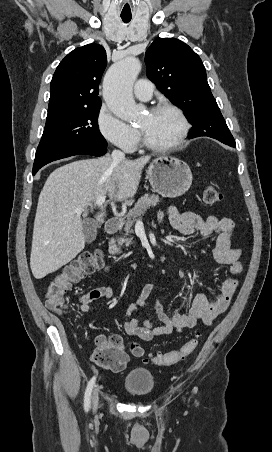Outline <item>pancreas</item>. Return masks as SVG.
<instances>
[{"label":"pancreas","instance_id":"pancreas-1","mask_svg":"<svg viewBox=\"0 0 272 452\" xmlns=\"http://www.w3.org/2000/svg\"><path fill=\"white\" fill-rule=\"evenodd\" d=\"M160 202V197L158 195L145 194L140 199H138L137 203H135L134 208L129 211L127 214V220L124 222L125 227L124 230L126 235L133 233L132 226L136 221L137 217H141L144 215L145 211L150 207H155ZM119 243L125 244L127 247L132 244V237L130 238H120Z\"/></svg>","mask_w":272,"mask_h":452}]
</instances>
